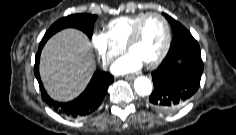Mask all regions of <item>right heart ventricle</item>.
I'll return each mask as SVG.
<instances>
[{"mask_svg": "<svg viewBox=\"0 0 236 135\" xmlns=\"http://www.w3.org/2000/svg\"><path fill=\"white\" fill-rule=\"evenodd\" d=\"M145 13L132 16H121L106 25V36L116 46L123 48L133 27Z\"/></svg>", "mask_w": 236, "mask_h": 135, "instance_id": "right-heart-ventricle-1", "label": "right heart ventricle"}]
</instances>
